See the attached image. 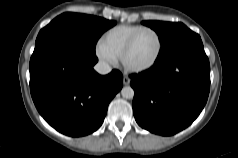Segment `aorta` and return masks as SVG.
Wrapping results in <instances>:
<instances>
[{
  "label": "aorta",
  "instance_id": "aorta-1",
  "mask_svg": "<svg viewBox=\"0 0 238 158\" xmlns=\"http://www.w3.org/2000/svg\"><path fill=\"white\" fill-rule=\"evenodd\" d=\"M121 95L123 98L132 99L134 96V90L130 86L123 87L121 90Z\"/></svg>",
  "mask_w": 238,
  "mask_h": 158
}]
</instances>
